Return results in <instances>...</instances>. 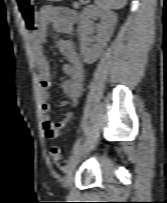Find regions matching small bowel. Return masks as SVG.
Segmentation results:
<instances>
[{
    "label": "small bowel",
    "mask_w": 167,
    "mask_h": 203,
    "mask_svg": "<svg viewBox=\"0 0 167 203\" xmlns=\"http://www.w3.org/2000/svg\"><path fill=\"white\" fill-rule=\"evenodd\" d=\"M77 21V14L73 10L45 6L37 14V23L30 30L28 41L33 55L34 62L40 72V100L42 110V126L47 138H55L66 127L71 120L72 114L66 113L59 122H53L49 116L50 98L52 87V71L46 50V33L49 26L54 31L71 36ZM59 51L66 57L67 63L63 70L67 78L62 82V90L67 100L60 103L61 107L70 104L76 106L82 93L85 80V68L83 62L76 51L74 42L71 38L60 39L57 43Z\"/></svg>",
    "instance_id": "c3829d8e"
}]
</instances>
